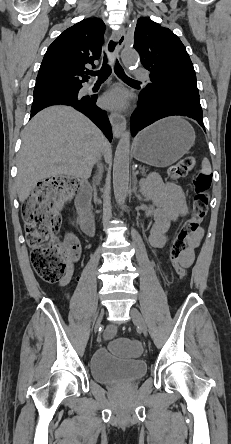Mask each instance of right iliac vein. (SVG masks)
Instances as JSON below:
<instances>
[{
	"label": "right iliac vein",
	"mask_w": 231,
	"mask_h": 444,
	"mask_svg": "<svg viewBox=\"0 0 231 444\" xmlns=\"http://www.w3.org/2000/svg\"><path fill=\"white\" fill-rule=\"evenodd\" d=\"M102 317H103V313H101V315L99 316V318H98V320H97V322L95 324V329H97L100 326Z\"/></svg>",
	"instance_id": "right-iliac-vein-1"
}]
</instances>
